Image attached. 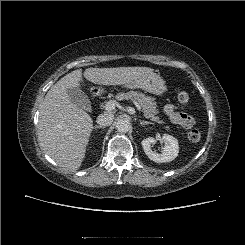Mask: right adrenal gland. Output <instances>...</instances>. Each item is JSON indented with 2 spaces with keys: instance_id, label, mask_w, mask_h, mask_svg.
I'll use <instances>...</instances> for the list:
<instances>
[{
  "instance_id": "1",
  "label": "right adrenal gland",
  "mask_w": 245,
  "mask_h": 245,
  "mask_svg": "<svg viewBox=\"0 0 245 245\" xmlns=\"http://www.w3.org/2000/svg\"><path fill=\"white\" fill-rule=\"evenodd\" d=\"M105 127H103V126H101V125H96L95 127H94V129H104Z\"/></svg>"
}]
</instances>
